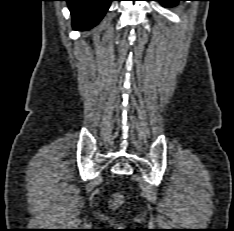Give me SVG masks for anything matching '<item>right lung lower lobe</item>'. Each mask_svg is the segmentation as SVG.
I'll list each match as a JSON object with an SVG mask.
<instances>
[{"instance_id": "obj_1", "label": "right lung lower lobe", "mask_w": 234, "mask_h": 231, "mask_svg": "<svg viewBox=\"0 0 234 231\" xmlns=\"http://www.w3.org/2000/svg\"><path fill=\"white\" fill-rule=\"evenodd\" d=\"M72 15L76 30H85L96 25L108 10L112 0H65Z\"/></svg>"}]
</instances>
